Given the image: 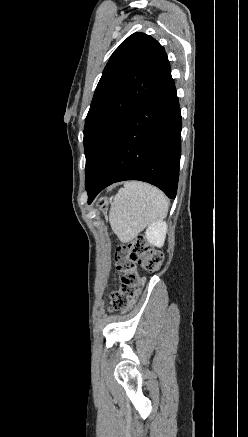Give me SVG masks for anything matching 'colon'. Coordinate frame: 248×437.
Instances as JSON below:
<instances>
[{
	"instance_id": "5ec220e1",
	"label": "colon",
	"mask_w": 248,
	"mask_h": 437,
	"mask_svg": "<svg viewBox=\"0 0 248 437\" xmlns=\"http://www.w3.org/2000/svg\"><path fill=\"white\" fill-rule=\"evenodd\" d=\"M114 260L122 276L118 290L110 295V309L124 311L136 301L143 282L137 267H142L148 273H154L163 264V254L138 238L128 244L117 246Z\"/></svg>"
}]
</instances>
